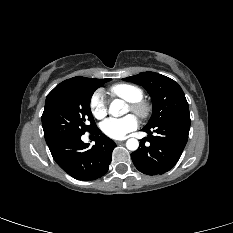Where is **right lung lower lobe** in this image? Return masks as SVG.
<instances>
[{"label":"right lung lower lobe","mask_w":233,"mask_h":233,"mask_svg":"<svg viewBox=\"0 0 233 233\" xmlns=\"http://www.w3.org/2000/svg\"><path fill=\"white\" fill-rule=\"evenodd\" d=\"M89 132L95 134L92 147L81 140L82 135L67 137L49 146L56 163L72 177L83 181L95 180L106 174L116 146L97 127Z\"/></svg>","instance_id":"right-lung-lower-lobe-1"}]
</instances>
